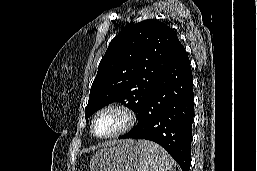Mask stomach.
I'll return each instance as SVG.
<instances>
[{
	"label": "stomach",
	"instance_id": "stomach-1",
	"mask_svg": "<svg viewBox=\"0 0 257 171\" xmlns=\"http://www.w3.org/2000/svg\"><path fill=\"white\" fill-rule=\"evenodd\" d=\"M144 149L134 140L96 152L90 162L91 171H141Z\"/></svg>",
	"mask_w": 257,
	"mask_h": 171
}]
</instances>
